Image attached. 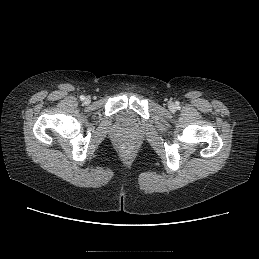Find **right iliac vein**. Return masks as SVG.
I'll return each mask as SVG.
<instances>
[{"instance_id": "63e3f726", "label": "right iliac vein", "mask_w": 259, "mask_h": 259, "mask_svg": "<svg viewBox=\"0 0 259 259\" xmlns=\"http://www.w3.org/2000/svg\"><path fill=\"white\" fill-rule=\"evenodd\" d=\"M85 101H86V103H89V99H88V98H86V100H85Z\"/></svg>"}]
</instances>
